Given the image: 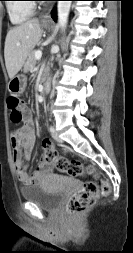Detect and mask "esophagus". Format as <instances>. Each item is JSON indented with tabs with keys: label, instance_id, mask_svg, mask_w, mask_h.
Segmentation results:
<instances>
[{
	"label": "esophagus",
	"instance_id": "esophagus-1",
	"mask_svg": "<svg viewBox=\"0 0 133 253\" xmlns=\"http://www.w3.org/2000/svg\"><path fill=\"white\" fill-rule=\"evenodd\" d=\"M51 17H50V11L45 13L43 16H42V19L43 20H49Z\"/></svg>",
	"mask_w": 133,
	"mask_h": 253
}]
</instances>
